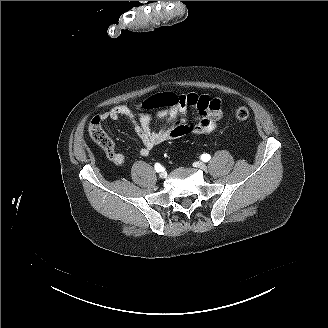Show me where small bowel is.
<instances>
[{"mask_svg":"<svg viewBox=\"0 0 328 328\" xmlns=\"http://www.w3.org/2000/svg\"><path fill=\"white\" fill-rule=\"evenodd\" d=\"M180 102L169 111L157 116L158 128H153L152 117L146 112H134L128 105H116L99 117L101 121L129 119L142 142L139 154L146 157L152 149L162 143L179 139L186 135H207L216 130L223 117L222 101L208 95L189 93L179 97ZM189 110L195 113V120L187 118ZM109 159L117 165L125 162L124 154L114 148L106 152Z\"/></svg>","mask_w":328,"mask_h":328,"instance_id":"c3829d8e","label":"small bowel"}]
</instances>
